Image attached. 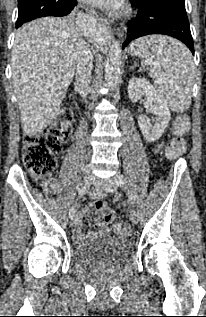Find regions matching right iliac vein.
Here are the masks:
<instances>
[{
  "label": "right iliac vein",
  "mask_w": 206,
  "mask_h": 317,
  "mask_svg": "<svg viewBox=\"0 0 206 317\" xmlns=\"http://www.w3.org/2000/svg\"><path fill=\"white\" fill-rule=\"evenodd\" d=\"M94 180V176L93 174L91 173V171L89 170H86L83 174V181L85 183V185H89L93 182ZM78 221V216L77 215H74L72 218H71V221H70V224L71 226H75L76 223Z\"/></svg>",
  "instance_id": "63e3f726"
}]
</instances>
